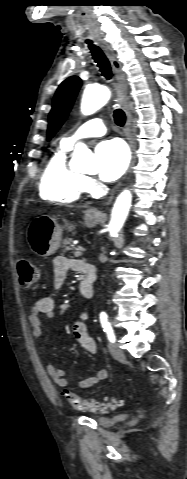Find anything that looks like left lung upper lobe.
I'll return each mask as SVG.
<instances>
[{"label": "left lung upper lobe", "mask_w": 187, "mask_h": 479, "mask_svg": "<svg viewBox=\"0 0 187 479\" xmlns=\"http://www.w3.org/2000/svg\"><path fill=\"white\" fill-rule=\"evenodd\" d=\"M80 86V78L72 76L63 81L58 87L54 96L52 110L49 113L48 139L55 134L66 119Z\"/></svg>", "instance_id": "obj_1"}]
</instances>
